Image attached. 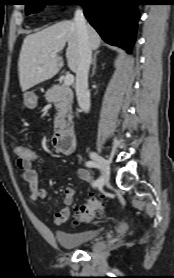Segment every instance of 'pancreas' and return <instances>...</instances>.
Wrapping results in <instances>:
<instances>
[{"label": "pancreas", "mask_w": 174, "mask_h": 278, "mask_svg": "<svg viewBox=\"0 0 174 278\" xmlns=\"http://www.w3.org/2000/svg\"><path fill=\"white\" fill-rule=\"evenodd\" d=\"M45 98L48 102L54 103L57 110L55 122L64 126L66 124L65 118L71 119V105L73 103V92L65 85H54L45 93Z\"/></svg>", "instance_id": "cf45deb5"}]
</instances>
